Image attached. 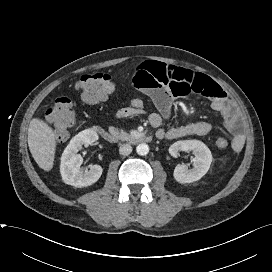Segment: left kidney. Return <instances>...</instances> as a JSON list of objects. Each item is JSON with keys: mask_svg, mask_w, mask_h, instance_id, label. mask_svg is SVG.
Returning a JSON list of instances; mask_svg holds the SVG:
<instances>
[{"mask_svg": "<svg viewBox=\"0 0 272 272\" xmlns=\"http://www.w3.org/2000/svg\"><path fill=\"white\" fill-rule=\"evenodd\" d=\"M179 151H192L195 157L192 159V169H188L186 165L175 167L173 176L177 182L182 184L192 183L201 179L208 172L212 162V154L202 141H177L169 148V153L173 157H177Z\"/></svg>", "mask_w": 272, "mask_h": 272, "instance_id": "left-kidney-1", "label": "left kidney"}]
</instances>
